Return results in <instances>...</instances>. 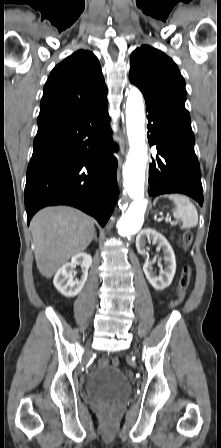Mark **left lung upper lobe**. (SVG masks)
Wrapping results in <instances>:
<instances>
[{
  "label": "left lung upper lobe",
  "mask_w": 221,
  "mask_h": 448,
  "mask_svg": "<svg viewBox=\"0 0 221 448\" xmlns=\"http://www.w3.org/2000/svg\"><path fill=\"white\" fill-rule=\"evenodd\" d=\"M129 79L142 91L147 110L192 131L185 81L171 58L149 45L138 47L130 57Z\"/></svg>",
  "instance_id": "left-lung-upper-lobe-1"
}]
</instances>
